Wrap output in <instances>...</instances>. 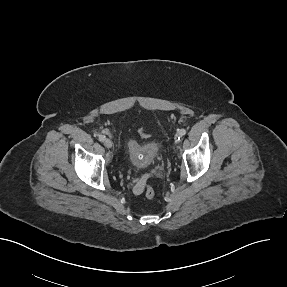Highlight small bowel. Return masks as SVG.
I'll list each match as a JSON object with an SVG mask.
<instances>
[{
  "label": "small bowel",
  "mask_w": 287,
  "mask_h": 287,
  "mask_svg": "<svg viewBox=\"0 0 287 287\" xmlns=\"http://www.w3.org/2000/svg\"><path fill=\"white\" fill-rule=\"evenodd\" d=\"M134 191L136 193H141L142 189H141V186L140 185H137L135 188H134Z\"/></svg>",
  "instance_id": "1"
}]
</instances>
